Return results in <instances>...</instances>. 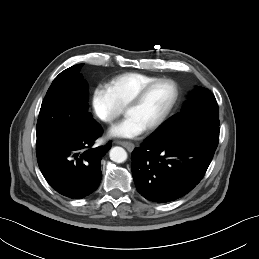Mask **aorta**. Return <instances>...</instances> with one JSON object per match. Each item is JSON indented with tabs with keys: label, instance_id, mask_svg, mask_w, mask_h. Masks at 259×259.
I'll return each instance as SVG.
<instances>
[{
	"label": "aorta",
	"instance_id": "obj_1",
	"mask_svg": "<svg viewBox=\"0 0 259 259\" xmlns=\"http://www.w3.org/2000/svg\"><path fill=\"white\" fill-rule=\"evenodd\" d=\"M109 155L110 159L116 163H123L127 159V152L122 147H113Z\"/></svg>",
	"mask_w": 259,
	"mask_h": 259
}]
</instances>
